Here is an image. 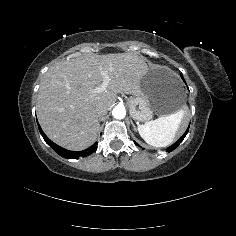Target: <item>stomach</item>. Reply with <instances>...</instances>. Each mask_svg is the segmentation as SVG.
Returning a JSON list of instances; mask_svg holds the SVG:
<instances>
[{
    "mask_svg": "<svg viewBox=\"0 0 236 236\" xmlns=\"http://www.w3.org/2000/svg\"><path fill=\"white\" fill-rule=\"evenodd\" d=\"M186 94L180 80L162 68L148 70L136 95L128 100L129 113L137 122H147L156 114L169 116L182 109Z\"/></svg>",
    "mask_w": 236,
    "mask_h": 236,
    "instance_id": "obj_1",
    "label": "stomach"
}]
</instances>
